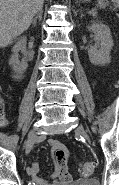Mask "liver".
Instances as JSON below:
<instances>
[{
    "instance_id": "1",
    "label": "liver",
    "mask_w": 119,
    "mask_h": 185,
    "mask_svg": "<svg viewBox=\"0 0 119 185\" xmlns=\"http://www.w3.org/2000/svg\"><path fill=\"white\" fill-rule=\"evenodd\" d=\"M44 0H0V48L26 31Z\"/></svg>"
}]
</instances>
